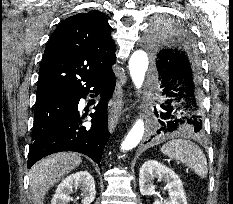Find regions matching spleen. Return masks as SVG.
Returning a JSON list of instances; mask_svg holds the SVG:
<instances>
[{"label":"spleen","mask_w":233,"mask_h":204,"mask_svg":"<svg viewBox=\"0 0 233 204\" xmlns=\"http://www.w3.org/2000/svg\"><path fill=\"white\" fill-rule=\"evenodd\" d=\"M161 152L171 159H175L192 169L201 179L208 174L207 160L195 143L186 139H172L165 143Z\"/></svg>","instance_id":"obj_1"}]
</instances>
